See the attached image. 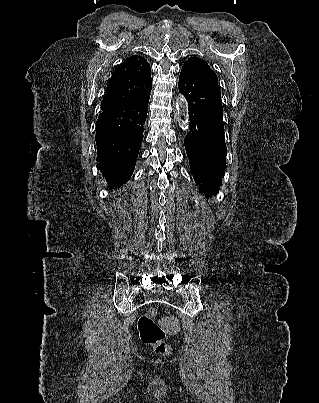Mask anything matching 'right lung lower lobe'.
Here are the masks:
<instances>
[{"label":"right lung lower lobe","instance_id":"98d812e1","mask_svg":"<svg viewBox=\"0 0 319 403\" xmlns=\"http://www.w3.org/2000/svg\"><path fill=\"white\" fill-rule=\"evenodd\" d=\"M150 93L140 99L102 110L96 124L97 166L111 189L133 173L143 140Z\"/></svg>","mask_w":319,"mask_h":403}]
</instances>
